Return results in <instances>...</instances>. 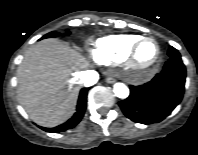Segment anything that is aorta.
I'll use <instances>...</instances> for the list:
<instances>
[{"mask_svg": "<svg viewBox=\"0 0 198 155\" xmlns=\"http://www.w3.org/2000/svg\"><path fill=\"white\" fill-rule=\"evenodd\" d=\"M113 92L115 96L120 99H126L129 96V88L123 83H115L113 86Z\"/></svg>", "mask_w": 198, "mask_h": 155, "instance_id": "762f6f07", "label": "aorta"}]
</instances>
